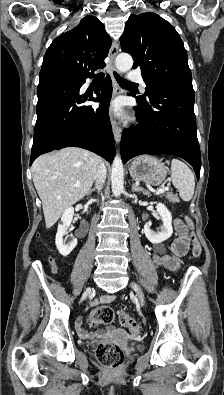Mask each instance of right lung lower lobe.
I'll return each mask as SVG.
<instances>
[{"instance_id":"1","label":"right lung lower lobe","mask_w":224,"mask_h":395,"mask_svg":"<svg viewBox=\"0 0 224 395\" xmlns=\"http://www.w3.org/2000/svg\"><path fill=\"white\" fill-rule=\"evenodd\" d=\"M54 66L41 68L37 89L34 141L30 165L41 154L68 146L90 150L110 163L115 155L114 138L108 114L112 83L107 76L95 90L96 98L79 95L86 78ZM100 101L97 109L82 105Z\"/></svg>"}]
</instances>
